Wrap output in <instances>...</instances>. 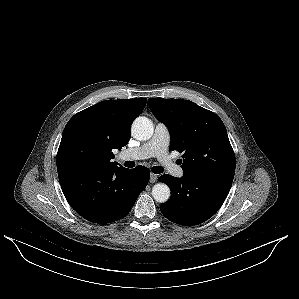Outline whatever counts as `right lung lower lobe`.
Returning a JSON list of instances; mask_svg holds the SVG:
<instances>
[{"instance_id": "98d812e1", "label": "right lung lower lobe", "mask_w": 299, "mask_h": 299, "mask_svg": "<svg viewBox=\"0 0 299 299\" xmlns=\"http://www.w3.org/2000/svg\"><path fill=\"white\" fill-rule=\"evenodd\" d=\"M62 191L84 219L106 224L125 217L150 178L144 166L58 173Z\"/></svg>"}]
</instances>
